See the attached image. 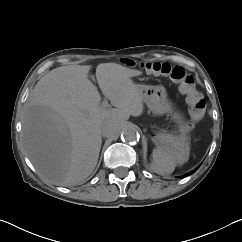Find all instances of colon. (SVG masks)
I'll list each match as a JSON object with an SVG mask.
<instances>
[{
	"mask_svg": "<svg viewBox=\"0 0 242 242\" xmlns=\"http://www.w3.org/2000/svg\"><path fill=\"white\" fill-rule=\"evenodd\" d=\"M123 62L128 66L135 64L131 59H125ZM140 67L154 75L168 77L179 85L180 91L186 96L190 125H194L203 118L206 104L202 94L196 88V81L192 74L188 73L182 66H173L162 62H142Z\"/></svg>",
	"mask_w": 242,
	"mask_h": 242,
	"instance_id": "5ec220e1",
	"label": "colon"
}]
</instances>
